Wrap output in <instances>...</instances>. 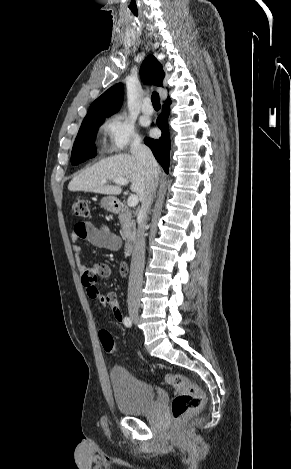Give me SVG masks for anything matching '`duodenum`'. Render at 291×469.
<instances>
[{
	"label": "duodenum",
	"instance_id": "410a0bca",
	"mask_svg": "<svg viewBox=\"0 0 291 469\" xmlns=\"http://www.w3.org/2000/svg\"><path fill=\"white\" fill-rule=\"evenodd\" d=\"M115 210L119 211L121 209V203L119 201H115L113 204ZM134 240L129 238L125 243V251L131 253L134 250Z\"/></svg>",
	"mask_w": 291,
	"mask_h": 469
}]
</instances>
